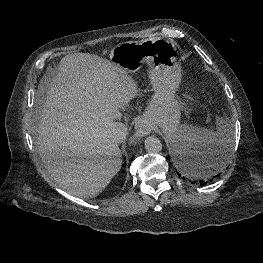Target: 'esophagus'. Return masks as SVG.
Here are the masks:
<instances>
[{
    "label": "esophagus",
    "instance_id": "34e87169",
    "mask_svg": "<svg viewBox=\"0 0 263 263\" xmlns=\"http://www.w3.org/2000/svg\"><path fill=\"white\" fill-rule=\"evenodd\" d=\"M151 126L144 120H138L135 123V137L146 136L151 132Z\"/></svg>",
    "mask_w": 263,
    "mask_h": 263
}]
</instances>
